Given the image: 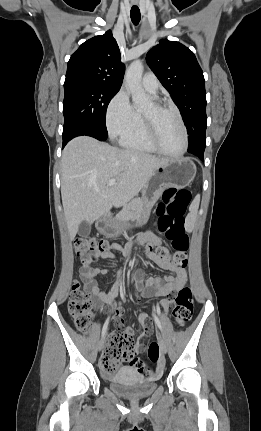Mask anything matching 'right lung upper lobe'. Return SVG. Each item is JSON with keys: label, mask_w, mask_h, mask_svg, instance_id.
Returning a JSON list of instances; mask_svg holds the SVG:
<instances>
[{"label": "right lung upper lobe", "mask_w": 261, "mask_h": 431, "mask_svg": "<svg viewBox=\"0 0 261 431\" xmlns=\"http://www.w3.org/2000/svg\"><path fill=\"white\" fill-rule=\"evenodd\" d=\"M120 59L119 47L109 30L84 42L72 54L65 80L87 79L120 89L125 71Z\"/></svg>", "instance_id": "right-lung-upper-lobe-1"}]
</instances>
